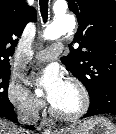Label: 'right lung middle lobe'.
<instances>
[{
	"instance_id": "1",
	"label": "right lung middle lobe",
	"mask_w": 116,
	"mask_h": 134,
	"mask_svg": "<svg viewBox=\"0 0 116 134\" xmlns=\"http://www.w3.org/2000/svg\"><path fill=\"white\" fill-rule=\"evenodd\" d=\"M10 67L0 69V113L13 107L8 99Z\"/></svg>"
}]
</instances>
